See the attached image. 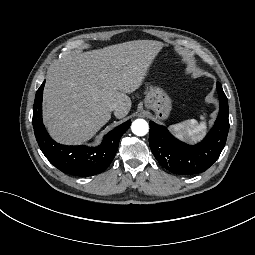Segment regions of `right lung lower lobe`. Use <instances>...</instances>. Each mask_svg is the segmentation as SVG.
<instances>
[{
    "label": "right lung lower lobe",
    "mask_w": 255,
    "mask_h": 255,
    "mask_svg": "<svg viewBox=\"0 0 255 255\" xmlns=\"http://www.w3.org/2000/svg\"><path fill=\"white\" fill-rule=\"evenodd\" d=\"M45 82L36 93L33 107V128L43 154L60 171L74 176H92L103 172L118 149L122 135L130 127L126 121L110 131L98 147L66 146L51 139L42 123V95Z\"/></svg>",
    "instance_id": "right-lung-lower-lobe-1"
}]
</instances>
